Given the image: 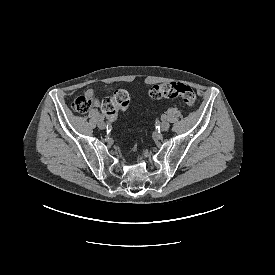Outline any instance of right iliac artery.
Listing matches in <instances>:
<instances>
[{
    "label": "right iliac artery",
    "instance_id": "82829eb1",
    "mask_svg": "<svg viewBox=\"0 0 275 275\" xmlns=\"http://www.w3.org/2000/svg\"><path fill=\"white\" fill-rule=\"evenodd\" d=\"M99 119H104V116L102 114L98 115Z\"/></svg>",
    "mask_w": 275,
    "mask_h": 275
}]
</instances>
